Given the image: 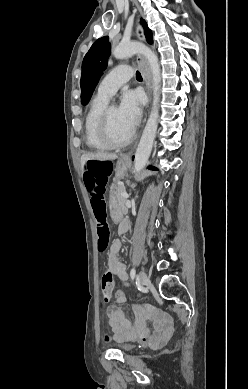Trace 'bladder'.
<instances>
[{
    "instance_id": "bladder-1",
    "label": "bladder",
    "mask_w": 248,
    "mask_h": 389,
    "mask_svg": "<svg viewBox=\"0 0 248 389\" xmlns=\"http://www.w3.org/2000/svg\"><path fill=\"white\" fill-rule=\"evenodd\" d=\"M116 348L123 353H128L133 349L132 345L125 343L117 344Z\"/></svg>"
}]
</instances>
